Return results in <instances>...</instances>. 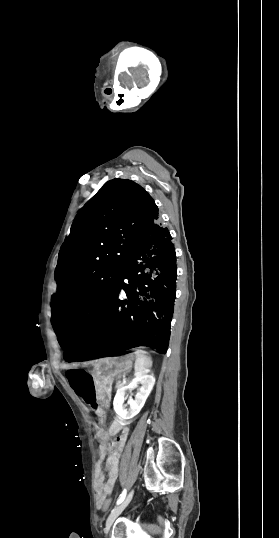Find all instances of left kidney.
Returning a JSON list of instances; mask_svg holds the SVG:
<instances>
[{"label": "left kidney", "instance_id": "left-kidney-1", "mask_svg": "<svg viewBox=\"0 0 279 538\" xmlns=\"http://www.w3.org/2000/svg\"><path fill=\"white\" fill-rule=\"evenodd\" d=\"M134 376V380H132L128 386H126V384H121L114 398L113 408L116 414L121 416L123 420H131V418H134V416L139 414L155 384L154 376H149L146 370L145 372H135ZM138 384H141L140 388ZM136 388L137 392L135 400L130 398L128 402L130 408H125L124 402L126 400L125 394L127 390H136Z\"/></svg>", "mask_w": 279, "mask_h": 538}]
</instances>
